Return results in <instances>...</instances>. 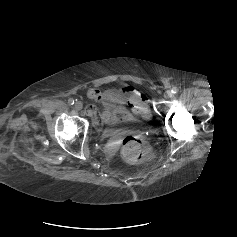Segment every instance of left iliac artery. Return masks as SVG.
<instances>
[{"instance_id":"obj_1","label":"left iliac artery","mask_w":237,"mask_h":237,"mask_svg":"<svg viewBox=\"0 0 237 237\" xmlns=\"http://www.w3.org/2000/svg\"><path fill=\"white\" fill-rule=\"evenodd\" d=\"M171 92H172L173 94H176V93L178 92V88H177V87H173L172 90H171Z\"/></svg>"}]
</instances>
